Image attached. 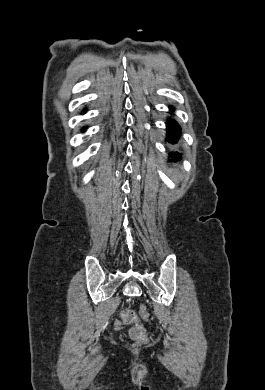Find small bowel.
<instances>
[{"instance_id":"1","label":"small bowel","mask_w":265,"mask_h":390,"mask_svg":"<svg viewBox=\"0 0 265 390\" xmlns=\"http://www.w3.org/2000/svg\"><path fill=\"white\" fill-rule=\"evenodd\" d=\"M115 326H116L117 328H120V327L123 326V324H122V322H120V321H116Z\"/></svg>"}]
</instances>
